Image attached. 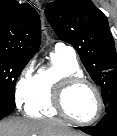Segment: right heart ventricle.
Masks as SVG:
<instances>
[{
  "label": "right heart ventricle",
  "instance_id": "e07e8e85",
  "mask_svg": "<svg viewBox=\"0 0 117 136\" xmlns=\"http://www.w3.org/2000/svg\"><path fill=\"white\" fill-rule=\"evenodd\" d=\"M70 75H83L76 57L55 50L51 63L36 74L34 93L25 104V113L34 118L58 117L52 104L53 92L58 82Z\"/></svg>",
  "mask_w": 117,
  "mask_h": 136
}]
</instances>
